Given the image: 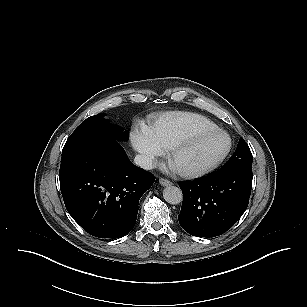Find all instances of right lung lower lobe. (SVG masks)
<instances>
[{"label":"right lung lower lobe","mask_w":307,"mask_h":307,"mask_svg":"<svg viewBox=\"0 0 307 307\" xmlns=\"http://www.w3.org/2000/svg\"><path fill=\"white\" fill-rule=\"evenodd\" d=\"M59 180L67 211L87 233L119 238L134 227L139 200L155 178L133 165L112 140L63 155Z\"/></svg>","instance_id":"obj_1"}]
</instances>
